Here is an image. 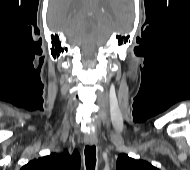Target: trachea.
Listing matches in <instances>:
<instances>
[{
	"instance_id": "3493384b",
	"label": "trachea",
	"mask_w": 190,
	"mask_h": 170,
	"mask_svg": "<svg viewBox=\"0 0 190 170\" xmlns=\"http://www.w3.org/2000/svg\"><path fill=\"white\" fill-rule=\"evenodd\" d=\"M85 164L87 170H95L96 165V147L86 146L85 147Z\"/></svg>"
}]
</instances>
